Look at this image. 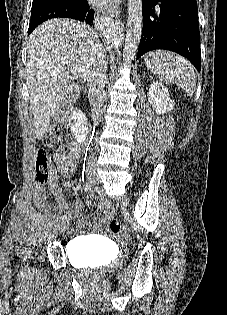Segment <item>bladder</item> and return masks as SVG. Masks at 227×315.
Masks as SVG:
<instances>
[{
    "label": "bladder",
    "instance_id": "bladder-1",
    "mask_svg": "<svg viewBox=\"0 0 227 315\" xmlns=\"http://www.w3.org/2000/svg\"><path fill=\"white\" fill-rule=\"evenodd\" d=\"M72 246L76 249L73 263L78 268L90 267V264H86L89 260L102 262L113 258L112 249L107 244L95 243L89 238L76 239L72 242Z\"/></svg>",
    "mask_w": 227,
    "mask_h": 315
}]
</instances>
